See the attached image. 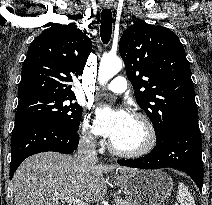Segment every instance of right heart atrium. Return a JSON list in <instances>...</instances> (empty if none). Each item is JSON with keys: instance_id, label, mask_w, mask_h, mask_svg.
Here are the masks:
<instances>
[{"instance_id": "1", "label": "right heart atrium", "mask_w": 212, "mask_h": 205, "mask_svg": "<svg viewBox=\"0 0 212 205\" xmlns=\"http://www.w3.org/2000/svg\"><path fill=\"white\" fill-rule=\"evenodd\" d=\"M81 139L90 146H95L97 144L95 129L89 115L85 116L83 119L81 125Z\"/></svg>"}]
</instances>
